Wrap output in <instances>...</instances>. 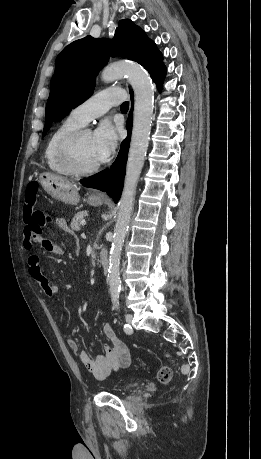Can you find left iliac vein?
Wrapping results in <instances>:
<instances>
[{"label": "left iliac vein", "mask_w": 261, "mask_h": 459, "mask_svg": "<svg viewBox=\"0 0 261 459\" xmlns=\"http://www.w3.org/2000/svg\"><path fill=\"white\" fill-rule=\"evenodd\" d=\"M125 318L128 324H132V319H133L132 314H127Z\"/></svg>", "instance_id": "4c4485c4"}]
</instances>
